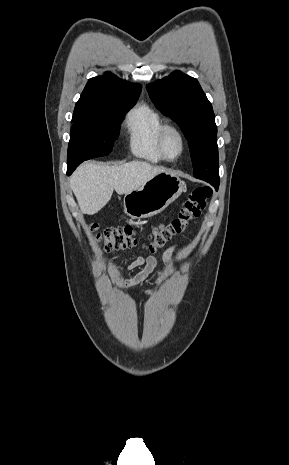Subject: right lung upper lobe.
Returning a JSON list of instances; mask_svg holds the SVG:
<instances>
[{"mask_svg":"<svg viewBox=\"0 0 289 465\" xmlns=\"http://www.w3.org/2000/svg\"><path fill=\"white\" fill-rule=\"evenodd\" d=\"M140 84H132L106 72V77L89 79L77 101L72 121L99 120L104 109L115 102L137 101Z\"/></svg>","mask_w":289,"mask_h":465,"instance_id":"obj_1","label":"right lung upper lobe"}]
</instances>
